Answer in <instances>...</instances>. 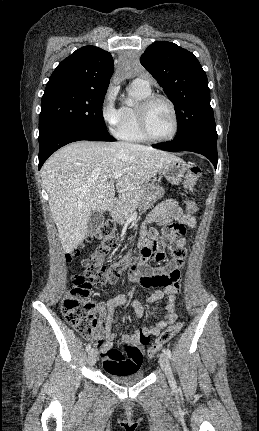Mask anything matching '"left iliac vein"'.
<instances>
[{
    "label": "left iliac vein",
    "mask_w": 259,
    "mask_h": 431,
    "mask_svg": "<svg viewBox=\"0 0 259 431\" xmlns=\"http://www.w3.org/2000/svg\"><path fill=\"white\" fill-rule=\"evenodd\" d=\"M160 366L164 371L165 375L167 376L169 383L172 384L174 382V377H173L169 358L165 352L160 354Z\"/></svg>",
    "instance_id": "left-iliac-vein-1"
}]
</instances>
